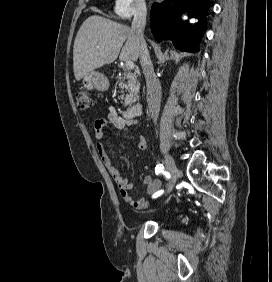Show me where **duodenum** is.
Masks as SVG:
<instances>
[{
  "label": "duodenum",
  "instance_id": "1",
  "mask_svg": "<svg viewBox=\"0 0 272 282\" xmlns=\"http://www.w3.org/2000/svg\"><path fill=\"white\" fill-rule=\"evenodd\" d=\"M142 113V104L139 101L131 103L127 109L123 112V117L131 120Z\"/></svg>",
  "mask_w": 272,
  "mask_h": 282
}]
</instances>
